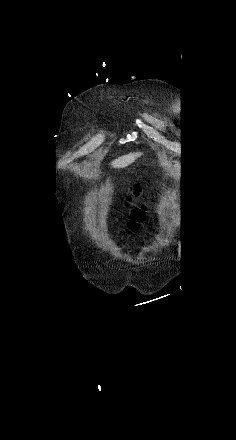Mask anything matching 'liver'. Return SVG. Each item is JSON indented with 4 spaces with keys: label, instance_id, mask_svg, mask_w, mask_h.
<instances>
[{
    "label": "liver",
    "instance_id": "1",
    "mask_svg": "<svg viewBox=\"0 0 236 440\" xmlns=\"http://www.w3.org/2000/svg\"><path fill=\"white\" fill-rule=\"evenodd\" d=\"M141 156V153H130L115 159L111 165L114 168H124L133 163L138 157Z\"/></svg>",
    "mask_w": 236,
    "mask_h": 440
}]
</instances>
